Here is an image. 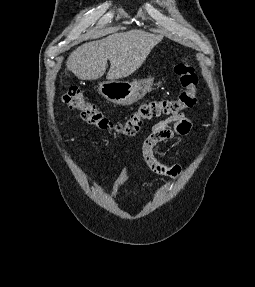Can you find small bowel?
<instances>
[{
  "instance_id": "c3829d8e",
  "label": "small bowel",
  "mask_w": 255,
  "mask_h": 287,
  "mask_svg": "<svg viewBox=\"0 0 255 287\" xmlns=\"http://www.w3.org/2000/svg\"><path fill=\"white\" fill-rule=\"evenodd\" d=\"M192 122L183 114L170 115L153 123L151 133L146 137L142 145V156L146 165L155 173L168 177H177L182 173L179 164L168 165L160 161L155 154V147L161 143L187 135L192 129ZM125 173L121 174L112 187V197L116 198L122 184L126 181Z\"/></svg>"
}]
</instances>
